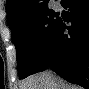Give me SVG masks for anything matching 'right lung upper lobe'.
<instances>
[{"label":"right lung upper lobe","mask_w":89,"mask_h":89,"mask_svg":"<svg viewBox=\"0 0 89 89\" xmlns=\"http://www.w3.org/2000/svg\"><path fill=\"white\" fill-rule=\"evenodd\" d=\"M49 0H7L8 25L12 27L24 17L44 11Z\"/></svg>","instance_id":"1"}]
</instances>
